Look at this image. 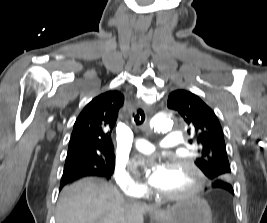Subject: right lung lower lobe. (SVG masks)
<instances>
[{"label": "right lung lower lobe", "mask_w": 267, "mask_h": 223, "mask_svg": "<svg viewBox=\"0 0 267 223\" xmlns=\"http://www.w3.org/2000/svg\"><path fill=\"white\" fill-rule=\"evenodd\" d=\"M87 176H100L97 174H90L87 172H83L82 170H76V171H70V172H63V176L60 183V189L66 185L67 183H70L74 180H77L79 178L87 177Z\"/></svg>", "instance_id": "1"}]
</instances>
